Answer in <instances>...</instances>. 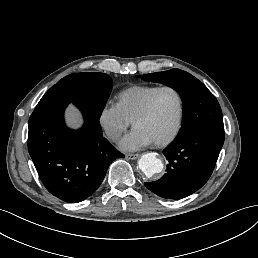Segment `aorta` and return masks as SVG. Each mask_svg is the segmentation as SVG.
<instances>
[{"label": "aorta", "mask_w": 258, "mask_h": 258, "mask_svg": "<svg viewBox=\"0 0 258 258\" xmlns=\"http://www.w3.org/2000/svg\"><path fill=\"white\" fill-rule=\"evenodd\" d=\"M139 168L148 177L162 172L164 166L162 161L157 158L155 153L144 154L138 161Z\"/></svg>", "instance_id": "aorta-1"}]
</instances>
